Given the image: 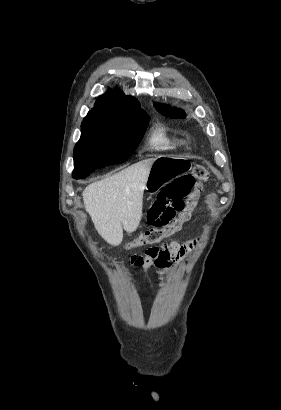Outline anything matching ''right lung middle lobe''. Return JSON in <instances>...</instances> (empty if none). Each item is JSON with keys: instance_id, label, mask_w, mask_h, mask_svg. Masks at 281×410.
<instances>
[{"instance_id": "obj_1", "label": "right lung middle lobe", "mask_w": 281, "mask_h": 410, "mask_svg": "<svg viewBox=\"0 0 281 410\" xmlns=\"http://www.w3.org/2000/svg\"><path fill=\"white\" fill-rule=\"evenodd\" d=\"M148 121V116L113 121L87 115L74 148L73 178H83L97 168L128 159L141 141Z\"/></svg>"}]
</instances>
